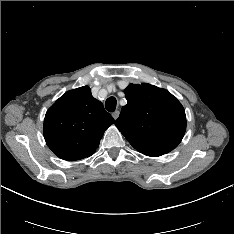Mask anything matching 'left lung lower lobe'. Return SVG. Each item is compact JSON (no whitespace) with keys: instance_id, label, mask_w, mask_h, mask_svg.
<instances>
[{"instance_id":"0a47b994","label":"left lung lower lobe","mask_w":234,"mask_h":234,"mask_svg":"<svg viewBox=\"0 0 234 234\" xmlns=\"http://www.w3.org/2000/svg\"><path fill=\"white\" fill-rule=\"evenodd\" d=\"M148 156H153V157H156V156H160V154H158V155H148Z\"/></svg>"}]
</instances>
